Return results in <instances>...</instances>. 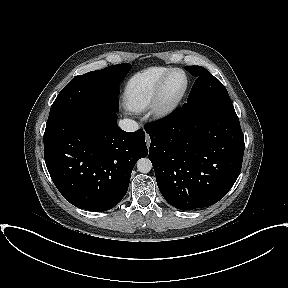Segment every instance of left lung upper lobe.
Wrapping results in <instances>:
<instances>
[{
  "label": "left lung upper lobe",
  "instance_id": "left-lung-upper-lobe-1",
  "mask_svg": "<svg viewBox=\"0 0 288 288\" xmlns=\"http://www.w3.org/2000/svg\"><path fill=\"white\" fill-rule=\"evenodd\" d=\"M185 69L197 79L184 107L236 115L226 88L217 78L201 66H186Z\"/></svg>",
  "mask_w": 288,
  "mask_h": 288
}]
</instances>
